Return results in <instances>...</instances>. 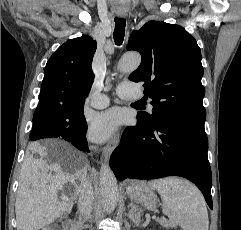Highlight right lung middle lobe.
I'll return each instance as SVG.
<instances>
[{
	"instance_id": "1",
	"label": "right lung middle lobe",
	"mask_w": 241,
	"mask_h": 230,
	"mask_svg": "<svg viewBox=\"0 0 241 230\" xmlns=\"http://www.w3.org/2000/svg\"><path fill=\"white\" fill-rule=\"evenodd\" d=\"M33 125L38 130L31 132L30 139L38 140L63 135L83 134L87 128L83 106L76 108H58L33 116Z\"/></svg>"
}]
</instances>
